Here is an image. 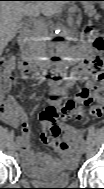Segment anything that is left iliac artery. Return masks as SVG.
Listing matches in <instances>:
<instances>
[{"mask_svg":"<svg viewBox=\"0 0 104 189\" xmlns=\"http://www.w3.org/2000/svg\"><path fill=\"white\" fill-rule=\"evenodd\" d=\"M82 146H85L86 141L84 139H81Z\"/></svg>","mask_w":104,"mask_h":189,"instance_id":"44dca946","label":"left iliac artery"}]
</instances>
